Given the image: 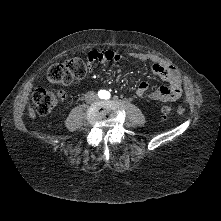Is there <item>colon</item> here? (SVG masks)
<instances>
[{
  "label": "colon",
  "mask_w": 221,
  "mask_h": 221,
  "mask_svg": "<svg viewBox=\"0 0 221 221\" xmlns=\"http://www.w3.org/2000/svg\"><path fill=\"white\" fill-rule=\"evenodd\" d=\"M89 71L88 64L80 58H72L64 63L55 64L49 67L46 73L47 80L53 84H69L83 78ZM64 98L61 91H52L47 88H38L34 91L32 99L40 114L49 113ZM162 115L167 116L172 112L170 105L161 107Z\"/></svg>",
  "instance_id": "5ec220e1"
}]
</instances>
